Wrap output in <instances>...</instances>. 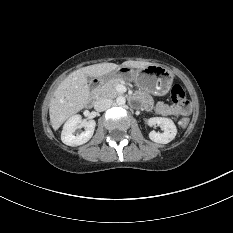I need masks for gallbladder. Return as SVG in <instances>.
Returning a JSON list of instances; mask_svg holds the SVG:
<instances>
[{
	"instance_id": "1",
	"label": "gallbladder",
	"mask_w": 233,
	"mask_h": 233,
	"mask_svg": "<svg viewBox=\"0 0 233 233\" xmlns=\"http://www.w3.org/2000/svg\"><path fill=\"white\" fill-rule=\"evenodd\" d=\"M87 80H88V82H89V81L91 80V77L88 76V77H87Z\"/></svg>"
}]
</instances>
